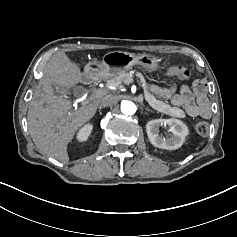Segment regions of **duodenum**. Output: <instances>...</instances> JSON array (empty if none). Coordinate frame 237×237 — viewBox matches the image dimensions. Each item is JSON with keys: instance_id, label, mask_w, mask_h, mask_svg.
Instances as JSON below:
<instances>
[{"instance_id": "duodenum-1", "label": "duodenum", "mask_w": 237, "mask_h": 237, "mask_svg": "<svg viewBox=\"0 0 237 237\" xmlns=\"http://www.w3.org/2000/svg\"><path fill=\"white\" fill-rule=\"evenodd\" d=\"M100 76V70L96 67H88L81 75L80 79L84 84L93 83Z\"/></svg>"}]
</instances>
